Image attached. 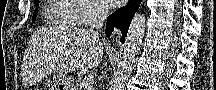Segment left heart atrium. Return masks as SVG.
Segmentation results:
<instances>
[{
    "label": "left heart atrium",
    "instance_id": "left-heart-atrium-1",
    "mask_svg": "<svg viewBox=\"0 0 216 90\" xmlns=\"http://www.w3.org/2000/svg\"><path fill=\"white\" fill-rule=\"evenodd\" d=\"M123 0H98L101 7H121Z\"/></svg>",
    "mask_w": 216,
    "mask_h": 90
}]
</instances>
